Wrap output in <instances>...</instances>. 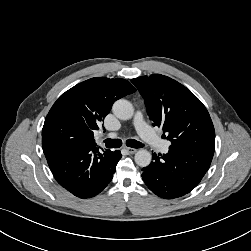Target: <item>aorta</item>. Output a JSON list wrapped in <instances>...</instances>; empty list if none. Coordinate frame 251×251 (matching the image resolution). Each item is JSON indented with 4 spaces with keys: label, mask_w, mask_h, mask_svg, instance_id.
Returning a JSON list of instances; mask_svg holds the SVG:
<instances>
[{
    "label": "aorta",
    "mask_w": 251,
    "mask_h": 251,
    "mask_svg": "<svg viewBox=\"0 0 251 251\" xmlns=\"http://www.w3.org/2000/svg\"><path fill=\"white\" fill-rule=\"evenodd\" d=\"M114 115L121 120H129L134 115L132 104L125 99L117 100L112 107ZM135 163L140 167H147L151 163L152 155L149 151L141 149L135 153Z\"/></svg>",
    "instance_id": "aorta-1"
}]
</instances>
